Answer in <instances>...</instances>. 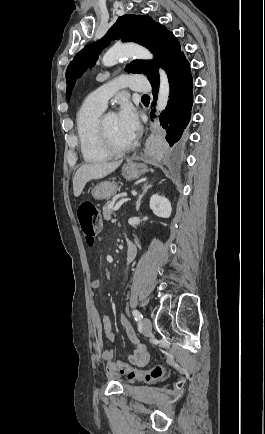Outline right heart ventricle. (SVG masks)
<instances>
[{
  "label": "right heart ventricle",
  "instance_id": "e07e8e85",
  "mask_svg": "<svg viewBox=\"0 0 265 434\" xmlns=\"http://www.w3.org/2000/svg\"><path fill=\"white\" fill-rule=\"evenodd\" d=\"M86 98L76 112V130L81 155L88 164L99 165L110 159L101 135L100 121L105 105Z\"/></svg>",
  "mask_w": 265,
  "mask_h": 434
}]
</instances>
